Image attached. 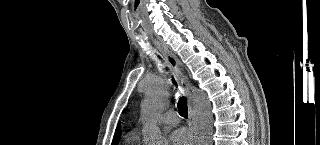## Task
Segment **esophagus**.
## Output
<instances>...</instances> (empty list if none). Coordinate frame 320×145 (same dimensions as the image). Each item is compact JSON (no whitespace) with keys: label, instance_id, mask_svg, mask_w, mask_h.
Returning a JSON list of instances; mask_svg holds the SVG:
<instances>
[{"label":"esophagus","instance_id":"34e87169","mask_svg":"<svg viewBox=\"0 0 320 145\" xmlns=\"http://www.w3.org/2000/svg\"><path fill=\"white\" fill-rule=\"evenodd\" d=\"M156 47L160 50V52L165 57L169 67L177 77L182 92L187 97V106H188V120L187 124L190 130L191 135L194 133V119H193V103H192V95H191V85L187 78V76L183 73L181 63L178 58L162 43L157 40H154Z\"/></svg>","mask_w":320,"mask_h":145}]
</instances>
